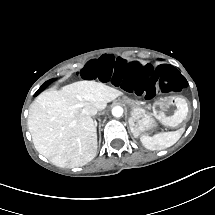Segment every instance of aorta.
Masks as SVG:
<instances>
[{"instance_id":"1","label":"aorta","mask_w":215,"mask_h":215,"mask_svg":"<svg viewBox=\"0 0 215 215\" xmlns=\"http://www.w3.org/2000/svg\"><path fill=\"white\" fill-rule=\"evenodd\" d=\"M123 108L121 106H115L112 108V115L115 117H121L123 115Z\"/></svg>"}]
</instances>
